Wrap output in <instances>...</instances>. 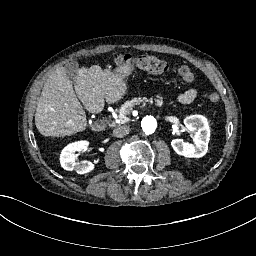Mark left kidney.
<instances>
[{"instance_id": "1", "label": "left kidney", "mask_w": 256, "mask_h": 256, "mask_svg": "<svg viewBox=\"0 0 256 256\" xmlns=\"http://www.w3.org/2000/svg\"><path fill=\"white\" fill-rule=\"evenodd\" d=\"M184 126L187 131L193 134L195 145L184 142L183 139H173L171 141L174 151L186 158H201L208 150L210 129L207 119L204 116L193 115L184 119Z\"/></svg>"}]
</instances>
